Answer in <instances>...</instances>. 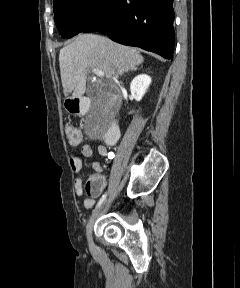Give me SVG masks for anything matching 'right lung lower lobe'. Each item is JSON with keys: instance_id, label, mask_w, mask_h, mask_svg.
Segmentation results:
<instances>
[{"instance_id": "98d812e1", "label": "right lung lower lobe", "mask_w": 240, "mask_h": 288, "mask_svg": "<svg viewBox=\"0 0 240 288\" xmlns=\"http://www.w3.org/2000/svg\"><path fill=\"white\" fill-rule=\"evenodd\" d=\"M173 0H110L82 32L100 31L118 43L173 59Z\"/></svg>"}]
</instances>
